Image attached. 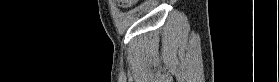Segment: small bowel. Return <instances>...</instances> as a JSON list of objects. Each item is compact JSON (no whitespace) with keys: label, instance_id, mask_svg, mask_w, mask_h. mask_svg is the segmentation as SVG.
Wrapping results in <instances>:
<instances>
[{"label":"small bowel","instance_id":"1","mask_svg":"<svg viewBox=\"0 0 279 82\" xmlns=\"http://www.w3.org/2000/svg\"><path fill=\"white\" fill-rule=\"evenodd\" d=\"M120 7H127L125 4H120Z\"/></svg>","mask_w":279,"mask_h":82}]
</instances>
